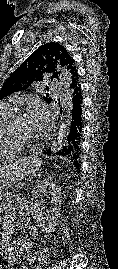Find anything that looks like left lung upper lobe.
<instances>
[{"label":"left lung upper lobe","mask_w":118,"mask_h":269,"mask_svg":"<svg viewBox=\"0 0 118 269\" xmlns=\"http://www.w3.org/2000/svg\"><path fill=\"white\" fill-rule=\"evenodd\" d=\"M60 67L69 73L70 88L73 90L80 83L74 60L66 48L56 42L40 46L6 80L0 89V99L13 92L26 90L36 81H42L43 74L49 75L51 79H59L61 72L58 69ZM43 99L48 103L51 102L48 97Z\"/></svg>","instance_id":"1"}]
</instances>
